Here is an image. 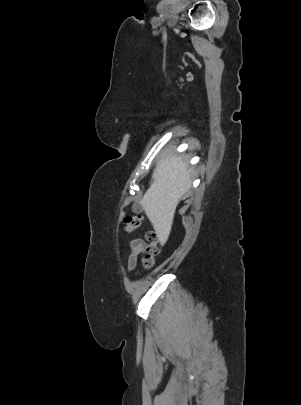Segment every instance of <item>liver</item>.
<instances>
[{
    "label": "liver",
    "instance_id": "1",
    "mask_svg": "<svg viewBox=\"0 0 301 405\" xmlns=\"http://www.w3.org/2000/svg\"><path fill=\"white\" fill-rule=\"evenodd\" d=\"M191 172L187 161L169 151L158 161L153 181L140 201L162 244L169 237L180 199L191 187Z\"/></svg>",
    "mask_w": 301,
    "mask_h": 405
}]
</instances>
